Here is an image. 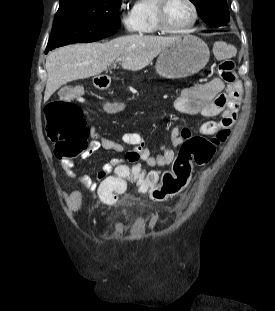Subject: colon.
Wrapping results in <instances>:
<instances>
[{"label": "colon", "mask_w": 275, "mask_h": 311, "mask_svg": "<svg viewBox=\"0 0 275 311\" xmlns=\"http://www.w3.org/2000/svg\"><path fill=\"white\" fill-rule=\"evenodd\" d=\"M227 44L218 42L213 48L214 55L221 59L218 65L220 77L225 82L235 80L234 63L224 59ZM81 94L76 87L64 90L61 98L46 107L47 135L54 143V154L58 159L73 160L88 148L90 130L83 117L81 108L71 100ZM79 103L84 99L79 98ZM130 104H137V97L129 98ZM114 113L112 102L105 108ZM117 113H124V106L116 107ZM230 134L228 126L217 128L209 137L190 136L181 146L172 169L159 177L154 171H145L135 165L122 168L118 175H105L103 183H98L96 196L100 202H115L126 190L125 179H130L139 192L147 194L154 201H164L181 193L189 184L195 167H204L213 160L216 149L226 142ZM132 161V160H130Z\"/></svg>", "instance_id": "colon-1"}]
</instances>
